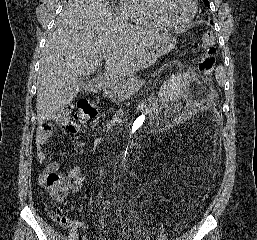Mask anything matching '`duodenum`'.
Returning a JSON list of instances; mask_svg holds the SVG:
<instances>
[{"label": "duodenum", "mask_w": 257, "mask_h": 240, "mask_svg": "<svg viewBox=\"0 0 257 240\" xmlns=\"http://www.w3.org/2000/svg\"><path fill=\"white\" fill-rule=\"evenodd\" d=\"M99 85V80L94 79L89 85V91L94 92Z\"/></svg>", "instance_id": "1"}]
</instances>
